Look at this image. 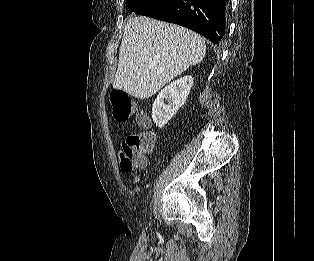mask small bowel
Wrapping results in <instances>:
<instances>
[{"label": "small bowel", "instance_id": "1", "mask_svg": "<svg viewBox=\"0 0 314 261\" xmlns=\"http://www.w3.org/2000/svg\"><path fill=\"white\" fill-rule=\"evenodd\" d=\"M148 125H149V120H148V123L145 126H143V127H148ZM147 164H148L147 156L144 155L143 158H142V164L140 165V167L138 169L146 168Z\"/></svg>", "mask_w": 314, "mask_h": 261}]
</instances>
